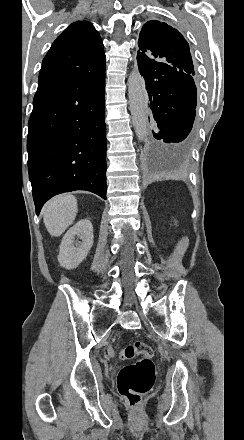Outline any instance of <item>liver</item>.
<instances>
[{"label": "liver", "mask_w": 244, "mask_h": 440, "mask_svg": "<svg viewBox=\"0 0 244 440\" xmlns=\"http://www.w3.org/2000/svg\"><path fill=\"white\" fill-rule=\"evenodd\" d=\"M77 214V200L71 194L56 196L48 202L43 216L50 236H61L73 224Z\"/></svg>", "instance_id": "liver-1"}]
</instances>
